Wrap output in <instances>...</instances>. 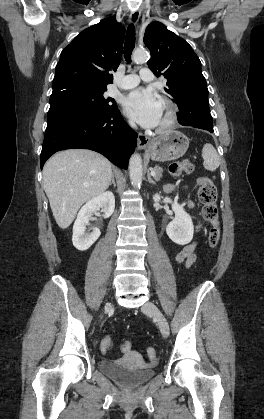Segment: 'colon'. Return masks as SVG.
Instances as JSON below:
<instances>
[{
	"label": "colon",
	"instance_id": "colon-1",
	"mask_svg": "<svg viewBox=\"0 0 264 419\" xmlns=\"http://www.w3.org/2000/svg\"><path fill=\"white\" fill-rule=\"evenodd\" d=\"M193 165L189 161L172 162L168 166V172L172 176H179L183 173H191ZM198 198L202 205V216L211 227L209 230V245L211 247L217 246L220 237V228L218 221V208L216 205L217 189L214 183L208 177H201L198 179ZM112 347V340L106 336L101 342V349L108 352ZM125 350L131 349L129 342L123 344ZM147 356L150 360L156 358V350L152 347L147 349Z\"/></svg>",
	"mask_w": 264,
	"mask_h": 419
}]
</instances>
